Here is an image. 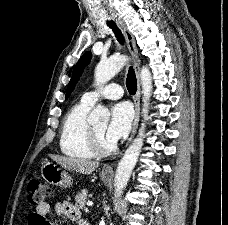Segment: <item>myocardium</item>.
<instances>
[{"mask_svg":"<svg viewBox=\"0 0 228 225\" xmlns=\"http://www.w3.org/2000/svg\"><path fill=\"white\" fill-rule=\"evenodd\" d=\"M90 139L93 148L98 154H109L116 149L115 143L104 139V137L97 132L94 126H90Z\"/></svg>","mask_w":228,"mask_h":225,"instance_id":"1","label":"myocardium"}]
</instances>
